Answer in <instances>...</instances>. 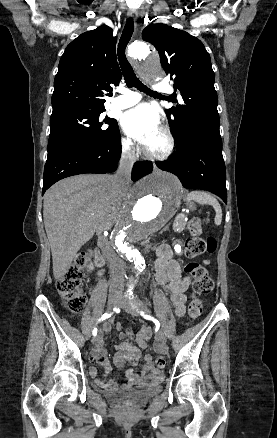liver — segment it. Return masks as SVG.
<instances>
[{
  "mask_svg": "<svg viewBox=\"0 0 277 438\" xmlns=\"http://www.w3.org/2000/svg\"><path fill=\"white\" fill-rule=\"evenodd\" d=\"M126 190L109 174H80L45 192L43 218L55 280L64 278L78 250L95 232L112 228L123 210Z\"/></svg>",
  "mask_w": 277,
  "mask_h": 438,
  "instance_id": "1",
  "label": "liver"
}]
</instances>
